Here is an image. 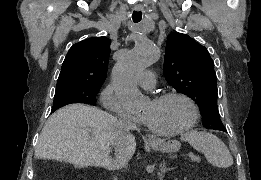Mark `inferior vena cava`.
Instances as JSON below:
<instances>
[{"label": "inferior vena cava", "mask_w": 261, "mask_h": 180, "mask_svg": "<svg viewBox=\"0 0 261 180\" xmlns=\"http://www.w3.org/2000/svg\"><path fill=\"white\" fill-rule=\"evenodd\" d=\"M128 128H133L132 124H128ZM129 160H131V156H129L125 150H119V154L115 156L114 166L117 170H122V168H127Z\"/></svg>", "instance_id": "602c4592"}]
</instances>
